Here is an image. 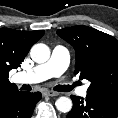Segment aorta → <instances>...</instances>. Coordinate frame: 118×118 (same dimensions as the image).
<instances>
[{"instance_id":"1","label":"aorta","mask_w":118,"mask_h":118,"mask_svg":"<svg viewBox=\"0 0 118 118\" xmlns=\"http://www.w3.org/2000/svg\"><path fill=\"white\" fill-rule=\"evenodd\" d=\"M30 56L36 63H45L50 58V49L43 43L35 44L30 50ZM56 108L62 113H67L72 109V100L68 97L61 96L56 100Z\"/></svg>"}]
</instances>
